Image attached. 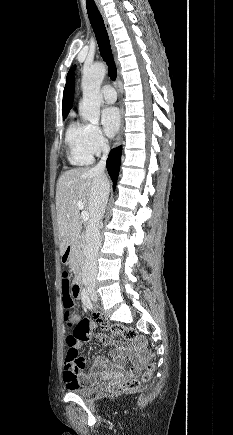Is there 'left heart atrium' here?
Wrapping results in <instances>:
<instances>
[{"label":"left heart atrium","mask_w":233,"mask_h":435,"mask_svg":"<svg viewBox=\"0 0 233 435\" xmlns=\"http://www.w3.org/2000/svg\"><path fill=\"white\" fill-rule=\"evenodd\" d=\"M101 122L105 134L108 137H113L120 126V114L116 107H106L101 112Z\"/></svg>","instance_id":"39dd6f15"}]
</instances>
